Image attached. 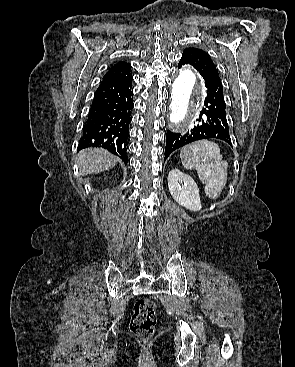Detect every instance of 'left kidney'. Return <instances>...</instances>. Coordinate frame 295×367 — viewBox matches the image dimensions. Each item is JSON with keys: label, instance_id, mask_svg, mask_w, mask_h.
<instances>
[{"label": "left kidney", "instance_id": "left-kidney-1", "mask_svg": "<svg viewBox=\"0 0 295 367\" xmlns=\"http://www.w3.org/2000/svg\"><path fill=\"white\" fill-rule=\"evenodd\" d=\"M168 187L173 199L191 211L201 209L199 189L195 181L178 169H172L168 174Z\"/></svg>", "mask_w": 295, "mask_h": 367}]
</instances>
